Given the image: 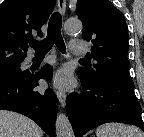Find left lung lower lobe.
<instances>
[{
    "instance_id": "obj_1",
    "label": "left lung lower lobe",
    "mask_w": 144,
    "mask_h": 137,
    "mask_svg": "<svg viewBox=\"0 0 144 137\" xmlns=\"http://www.w3.org/2000/svg\"><path fill=\"white\" fill-rule=\"evenodd\" d=\"M83 91L71 93L66 110L75 137L108 122L136 125L144 131L141 107L135 96L133 83L102 78L95 82L82 79Z\"/></svg>"
}]
</instances>
